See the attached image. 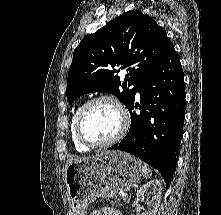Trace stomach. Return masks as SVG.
Segmentation results:
<instances>
[{"instance_id": "stomach-1", "label": "stomach", "mask_w": 221, "mask_h": 215, "mask_svg": "<svg viewBox=\"0 0 221 215\" xmlns=\"http://www.w3.org/2000/svg\"><path fill=\"white\" fill-rule=\"evenodd\" d=\"M141 175L142 162L121 151H104L69 164L65 171L69 215H87L90 203L130 190Z\"/></svg>"}]
</instances>
